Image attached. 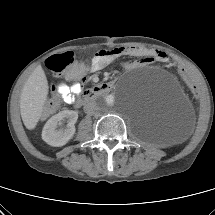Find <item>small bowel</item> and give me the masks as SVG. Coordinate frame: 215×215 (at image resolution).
<instances>
[{
  "label": "small bowel",
  "mask_w": 215,
  "mask_h": 215,
  "mask_svg": "<svg viewBox=\"0 0 215 215\" xmlns=\"http://www.w3.org/2000/svg\"><path fill=\"white\" fill-rule=\"evenodd\" d=\"M124 56L137 58L123 63V67L127 70L155 62L168 61V55L165 52L140 46H120L108 50H101L91 58L88 64H86L87 70L80 77L71 83L61 82L57 85V91L61 95L63 101L66 104H72L74 103L76 96L81 93L83 87L78 79L81 78L84 80L87 74L99 71L114 60Z\"/></svg>",
  "instance_id": "obj_1"
}]
</instances>
